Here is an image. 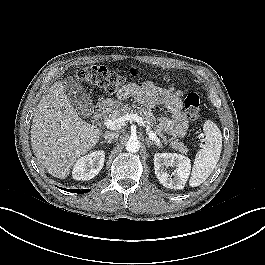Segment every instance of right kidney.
<instances>
[{
    "label": "right kidney",
    "instance_id": "right-kidney-1",
    "mask_svg": "<svg viewBox=\"0 0 265 265\" xmlns=\"http://www.w3.org/2000/svg\"><path fill=\"white\" fill-rule=\"evenodd\" d=\"M105 160V153L102 150L91 152L77 160L72 176L76 180H90L102 169Z\"/></svg>",
    "mask_w": 265,
    "mask_h": 265
}]
</instances>
